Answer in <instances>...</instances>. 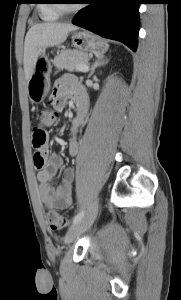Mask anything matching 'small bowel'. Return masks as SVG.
Instances as JSON below:
<instances>
[{
	"label": "small bowel",
	"instance_id": "obj_1",
	"mask_svg": "<svg viewBox=\"0 0 181 300\" xmlns=\"http://www.w3.org/2000/svg\"><path fill=\"white\" fill-rule=\"evenodd\" d=\"M68 97H72L75 100L77 113L71 122L67 148L70 156H76L79 153L78 134L85 121L88 100L85 91L79 86L77 80L70 75H63L54 84L51 103L55 109L63 110ZM42 154L45 158V163L42 167H37V179L40 183L38 188L40 201L46 208L66 210L73 201L75 170L71 167L64 169L61 183L54 187L51 185V182L62 168L63 160L57 154L47 156L45 151Z\"/></svg>",
	"mask_w": 181,
	"mask_h": 300
}]
</instances>
